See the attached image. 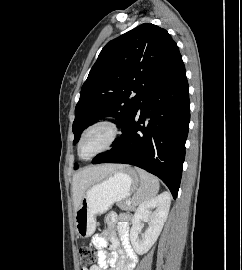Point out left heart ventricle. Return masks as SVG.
Returning <instances> with one entry per match:
<instances>
[{
    "label": "left heart ventricle",
    "instance_id": "1",
    "mask_svg": "<svg viewBox=\"0 0 242 270\" xmlns=\"http://www.w3.org/2000/svg\"><path fill=\"white\" fill-rule=\"evenodd\" d=\"M110 132L106 127H97L90 130L84 137L80 154L84 158H88L102 149L109 139Z\"/></svg>",
    "mask_w": 242,
    "mask_h": 270
}]
</instances>
